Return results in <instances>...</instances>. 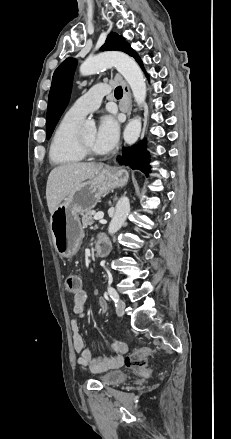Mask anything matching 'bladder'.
<instances>
[{"label":"bladder","mask_w":231,"mask_h":439,"mask_svg":"<svg viewBox=\"0 0 231 439\" xmlns=\"http://www.w3.org/2000/svg\"><path fill=\"white\" fill-rule=\"evenodd\" d=\"M127 378V373L122 370H111L99 376L100 382L107 386L118 385L124 382Z\"/></svg>","instance_id":"bladder-1"}]
</instances>
